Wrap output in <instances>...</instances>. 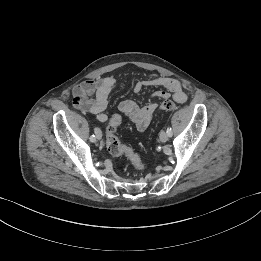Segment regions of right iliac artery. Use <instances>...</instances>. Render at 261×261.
I'll list each match as a JSON object with an SVG mask.
<instances>
[{"label": "right iliac artery", "instance_id": "1", "mask_svg": "<svg viewBox=\"0 0 261 261\" xmlns=\"http://www.w3.org/2000/svg\"><path fill=\"white\" fill-rule=\"evenodd\" d=\"M97 129H98V128H95V132H96V130H97ZM95 139H96V138H95V136H94V135H91V136H90V141H91V142H94V141H95Z\"/></svg>", "mask_w": 261, "mask_h": 261}]
</instances>
